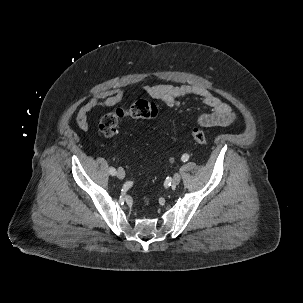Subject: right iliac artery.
I'll return each mask as SVG.
<instances>
[{
    "instance_id": "right-iliac-artery-1",
    "label": "right iliac artery",
    "mask_w": 303,
    "mask_h": 303,
    "mask_svg": "<svg viewBox=\"0 0 303 303\" xmlns=\"http://www.w3.org/2000/svg\"><path fill=\"white\" fill-rule=\"evenodd\" d=\"M109 173H110L112 176L116 175V170H115V168L110 167Z\"/></svg>"
}]
</instances>
